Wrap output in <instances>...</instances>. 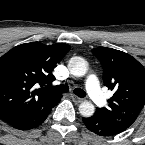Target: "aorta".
I'll return each instance as SVG.
<instances>
[{"label":"aorta","mask_w":145,"mask_h":145,"mask_svg":"<svg viewBox=\"0 0 145 145\" xmlns=\"http://www.w3.org/2000/svg\"><path fill=\"white\" fill-rule=\"evenodd\" d=\"M68 68L73 76L81 77L87 72V62L81 57H73L70 59ZM95 108L91 102L84 101L79 105V112L84 117H91Z\"/></svg>","instance_id":"1"}]
</instances>
